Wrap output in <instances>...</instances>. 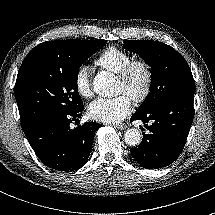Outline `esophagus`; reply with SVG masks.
Instances as JSON below:
<instances>
[{
  "instance_id": "esophagus-1",
  "label": "esophagus",
  "mask_w": 215,
  "mask_h": 215,
  "mask_svg": "<svg viewBox=\"0 0 215 215\" xmlns=\"http://www.w3.org/2000/svg\"><path fill=\"white\" fill-rule=\"evenodd\" d=\"M116 128L119 130H125L127 128V125L124 123L118 124V125H116Z\"/></svg>"
}]
</instances>
